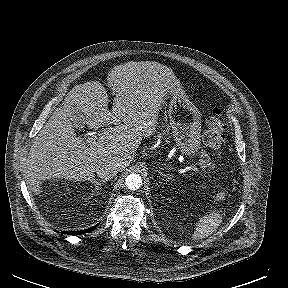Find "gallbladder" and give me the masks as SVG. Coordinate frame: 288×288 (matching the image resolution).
Returning a JSON list of instances; mask_svg holds the SVG:
<instances>
[{
  "mask_svg": "<svg viewBox=\"0 0 288 288\" xmlns=\"http://www.w3.org/2000/svg\"><path fill=\"white\" fill-rule=\"evenodd\" d=\"M69 118L71 119L73 125L77 128L83 127L85 124V118L84 116L77 110H73L68 112Z\"/></svg>",
  "mask_w": 288,
  "mask_h": 288,
  "instance_id": "1",
  "label": "gallbladder"
}]
</instances>
